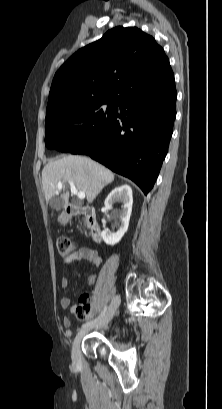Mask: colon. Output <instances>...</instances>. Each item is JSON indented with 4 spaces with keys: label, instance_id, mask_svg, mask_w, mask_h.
Instances as JSON below:
<instances>
[{
    "label": "colon",
    "instance_id": "obj_1",
    "mask_svg": "<svg viewBox=\"0 0 222 409\" xmlns=\"http://www.w3.org/2000/svg\"><path fill=\"white\" fill-rule=\"evenodd\" d=\"M57 252L59 257L62 260H67L70 256L75 253V244L72 240L66 237H60L57 240ZM89 313V305L88 304H81L76 309V314L80 318H85Z\"/></svg>",
    "mask_w": 222,
    "mask_h": 409
}]
</instances>
